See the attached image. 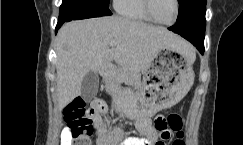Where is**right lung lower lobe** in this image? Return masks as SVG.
<instances>
[{"mask_svg": "<svg viewBox=\"0 0 243 145\" xmlns=\"http://www.w3.org/2000/svg\"><path fill=\"white\" fill-rule=\"evenodd\" d=\"M108 7L101 6L91 0H63L56 26V33L64 22L91 17L109 16Z\"/></svg>", "mask_w": 243, "mask_h": 145, "instance_id": "obj_1", "label": "right lung lower lobe"}]
</instances>
